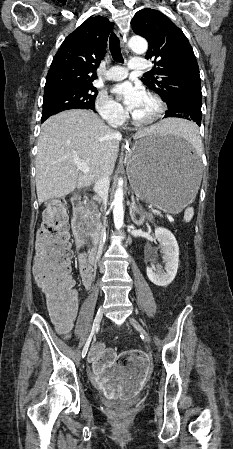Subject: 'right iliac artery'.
Masks as SVG:
<instances>
[{
	"instance_id": "82829eb1",
	"label": "right iliac artery",
	"mask_w": 233,
	"mask_h": 449,
	"mask_svg": "<svg viewBox=\"0 0 233 449\" xmlns=\"http://www.w3.org/2000/svg\"><path fill=\"white\" fill-rule=\"evenodd\" d=\"M98 328V327H97ZM96 328V329H97ZM94 330H95V326H94V329L92 330V332H91V334H90V336H89V340H88V342H87V344L85 345V347L83 348V351H82V357H85V355H86V353H87V351H88V348H89V345H90V342H91V338H92V336H93V334H94Z\"/></svg>"
}]
</instances>
